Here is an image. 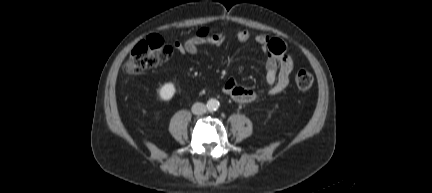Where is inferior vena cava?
Instances as JSON below:
<instances>
[{
	"instance_id": "1",
	"label": "inferior vena cava",
	"mask_w": 432,
	"mask_h": 193,
	"mask_svg": "<svg viewBox=\"0 0 432 193\" xmlns=\"http://www.w3.org/2000/svg\"><path fill=\"white\" fill-rule=\"evenodd\" d=\"M206 111H207V107L203 103L197 102L194 103L192 106V113L195 115H202L206 113Z\"/></svg>"
}]
</instances>
